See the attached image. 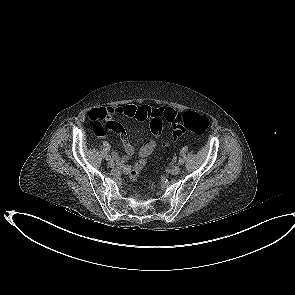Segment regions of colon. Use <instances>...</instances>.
Returning a JSON list of instances; mask_svg holds the SVG:
<instances>
[{
  "mask_svg": "<svg viewBox=\"0 0 295 295\" xmlns=\"http://www.w3.org/2000/svg\"><path fill=\"white\" fill-rule=\"evenodd\" d=\"M169 120L170 125L178 131L187 129L197 135L204 134L209 127L208 117L194 111H187L182 114L170 116ZM157 147L158 142L154 138H149L147 142L143 143L140 151V158L129 170L131 180L135 181L138 178L141 170L145 167L147 157H151L153 150H156Z\"/></svg>",
  "mask_w": 295,
  "mask_h": 295,
  "instance_id": "5ec220e1",
  "label": "colon"
}]
</instances>
